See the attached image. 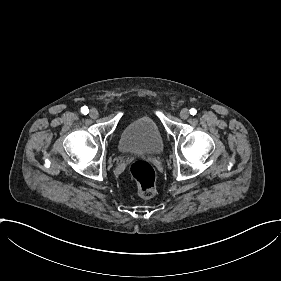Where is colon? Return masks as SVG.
Masks as SVG:
<instances>
[{"mask_svg": "<svg viewBox=\"0 0 281 281\" xmlns=\"http://www.w3.org/2000/svg\"><path fill=\"white\" fill-rule=\"evenodd\" d=\"M129 176L138 185L143 195L152 194L157 185L153 167L145 160H134L129 166Z\"/></svg>", "mask_w": 281, "mask_h": 281, "instance_id": "obj_1", "label": "colon"}]
</instances>
